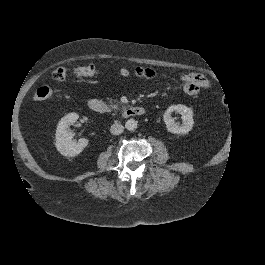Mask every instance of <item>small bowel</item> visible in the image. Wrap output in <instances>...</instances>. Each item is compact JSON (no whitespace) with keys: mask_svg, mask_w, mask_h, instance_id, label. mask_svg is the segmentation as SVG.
Returning a JSON list of instances; mask_svg holds the SVG:
<instances>
[{"mask_svg":"<svg viewBox=\"0 0 265 265\" xmlns=\"http://www.w3.org/2000/svg\"><path fill=\"white\" fill-rule=\"evenodd\" d=\"M128 71L122 69L120 71L121 77H127ZM180 82L184 92L190 96L197 95L201 90H206L210 87L209 80L201 74L189 73L180 76Z\"/></svg>","mask_w":265,"mask_h":265,"instance_id":"obj_1","label":"small bowel"}]
</instances>
